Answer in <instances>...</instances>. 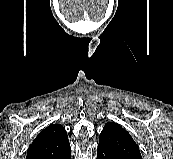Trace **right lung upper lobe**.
I'll return each instance as SVG.
<instances>
[{
  "label": "right lung upper lobe",
  "mask_w": 173,
  "mask_h": 159,
  "mask_svg": "<svg viewBox=\"0 0 173 159\" xmlns=\"http://www.w3.org/2000/svg\"><path fill=\"white\" fill-rule=\"evenodd\" d=\"M70 149L63 126L53 124L42 130L29 146L26 159H58Z\"/></svg>",
  "instance_id": "right-lung-upper-lobe-1"
}]
</instances>
